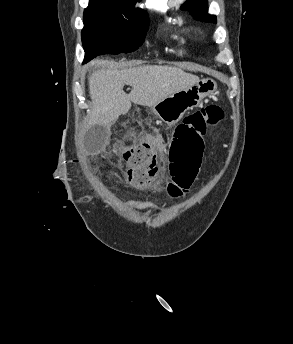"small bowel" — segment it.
Returning <instances> with one entry per match:
<instances>
[{
	"label": "small bowel",
	"instance_id": "1",
	"mask_svg": "<svg viewBox=\"0 0 293 344\" xmlns=\"http://www.w3.org/2000/svg\"><path fill=\"white\" fill-rule=\"evenodd\" d=\"M141 136H142V137H145V138H148L149 140H151V141L154 143V147H155L158 151L162 152V151L165 150V143H164V141H163V139H162L161 137H159V136H150V137H146V136H144V135H141ZM154 169H155V164H154L153 169H152V171H151L152 175H153ZM149 205H150V204H149L148 202L143 201V202L136 203V204H135V208H136V209H139V210H145V209H148V208H149Z\"/></svg>",
	"mask_w": 293,
	"mask_h": 344
}]
</instances>
